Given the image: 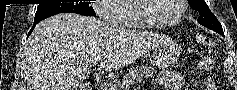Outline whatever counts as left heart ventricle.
Wrapping results in <instances>:
<instances>
[{
	"instance_id": "1",
	"label": "left heart ventricle",
	"mask_w": 237,
	"mask_h": 90,
	"mask_svg": "<svg viewBox=\"0 0 237 90\" xmlns=\"http://www.w3.org/2000/svg\"><path fill=\"white\" fill-rule=\"evenodd\" d=\"M177 0L142 1V13L152 21L172 22L178 14Z\"/></svg>"
}]
</instances>
